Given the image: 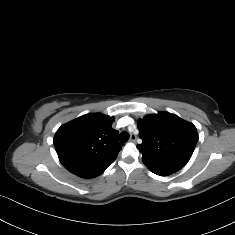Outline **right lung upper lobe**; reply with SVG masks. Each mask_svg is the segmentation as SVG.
I'll return each instance as SVG.
<instances>
[{"label": "right lung upper lobe", "mask_w": 235, "mask_h": 235, "mask_svg": "<svg viewBox=\"0 0 235 235\" xmlns=\"http://www.w3.org/2000/svg\"><path fill=\"white\" fill-rule=\"evenodd\" d=\"M113 121L114 117L90 113L62 125L54 137L62 165L81 178L101 175L123 146L111 127Z\"/></svg>", "instance_id": "obj_1"}]
</instances>
